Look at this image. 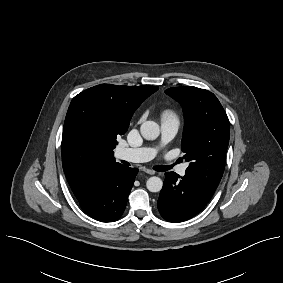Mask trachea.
<instances>
[{"label":"trachea","instance_id":"trachea-1","mask_svg":"<svg viewBox=\"0 0 283 283\" xmlns=\"http://www.w3.org/2000/svg\"><path fill=\"white\" fill-rule=\"evenodd\" d=\"M153 169L158 172H164V171L171 169V166L158 165V166H154Z\"/></svg>","mask_w":283,"mask_h":283}]
</instances>
